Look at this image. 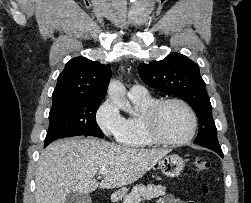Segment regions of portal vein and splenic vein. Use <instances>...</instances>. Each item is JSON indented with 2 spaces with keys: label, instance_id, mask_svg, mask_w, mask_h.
<instances>
[{
  "label": "portal vein and splenic vein",
  "instance_id": "1",
  "mask_svg": "<svg viewBox=\"0 0 251 203\" xmlns=\"http://www.w3.org/2000/svg\"><path fill=\"white\" fill-rule=\"evenodd\" d=\"M110 172V169H108V168H101L100 170H99V174H102V175H106V174H108Z\"/></svg>",
  "mask_w": 251,
  "mask_h": 203
}]
</instances>
